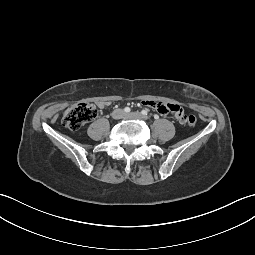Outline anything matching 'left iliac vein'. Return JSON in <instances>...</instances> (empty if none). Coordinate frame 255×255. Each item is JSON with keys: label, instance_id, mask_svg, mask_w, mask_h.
<instances>
[{"label": "left iliac vein", "instance_id": "left-iliac-vein-1", "mask_svg": "<svg viewBox=\"0 0 255 255\" xmlns=\"http://www.w3.org/2000/svg\"><path fill=\"white\" fill-rule=\"evenodd\" d=\"M125 118L131 119V120H141V119H145V116L142 115L140 112H132V113L126 114Z\"/></svg>", "mask_w": 255, "mask_h": 255}]
</instances>
